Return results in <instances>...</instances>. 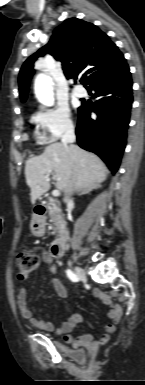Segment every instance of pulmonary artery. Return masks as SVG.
Segmentation results:
<instances>
[{"label": "pulmonary artery", "instance_id": "1", "mask_svg": "<svg viewBox=\"0 0 145 385\" xmlns=\"http://www.w3.org/2000/svg\"><path fill=\"white\" fill-rule=\"evenodd\" d=\"M73 92L77 97H84L86 95L85 88L80 85L75 86Z\"/></svg>", "mask_w": 145, "mask_h": 385}]
</instances>
